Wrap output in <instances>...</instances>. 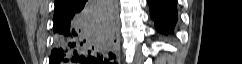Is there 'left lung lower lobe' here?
I'll list each match as a JSON object with an SVG mask.
<instances>
[{"instance_id": "obj_1", "label": "left lung lower lobe", "mask_w": 242, "mask_h": 64, "mask_svg": "<svg viewBox=\"0 0 242 64\" xmlns=\"http://www.w3.org/2000/svg\"><path fill=\"white\" fill-rule=\"evenodd\" d=\"M151 17L162 34H173L178 22L177 0H148Z\"/></svg>"}]
</instances>
